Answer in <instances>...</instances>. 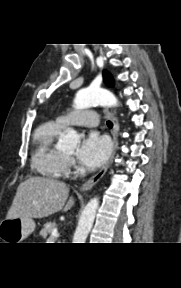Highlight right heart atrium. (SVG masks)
<instances>
[{"label": "right heart atrium", "mask_w": 181, "mask_h": 288, "mask_svg": "<svg viewBox=\"0 0 181 288\" xmlns=\"http://www.w3.org/2000/svg\"><path fill=\"white\" fill-rule=\"evenodd\" d=\"M72 167H74V160L71 157L67 156L66 169L64 170L62 175L68 176Z\"/></svg>", "instance_id": "right-heart-atrium-1"}]
</instances>
